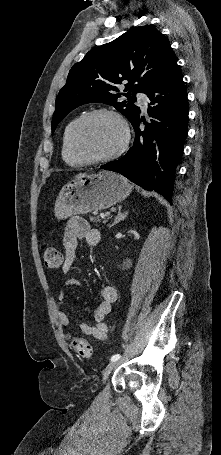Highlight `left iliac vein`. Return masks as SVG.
Returning a JSON list of instances; mask_svg holds the SVG:
<instances>
[{"label":"left iliac vein","instance_id":"obj_1","mask_svg":"<svg viewBox=\"0 0 221 455\" xmlns=\"http://www.w3.org/2000/svg\"><path fill=\"white\" fill-rule=\"evenodd\" d=\"M118 363H119L118 361H112L105 367V369L103 370V381L107 379L109 374L118 365Z\"/></svg>","mask_w":221,"mask_h":455}]
</instances>
